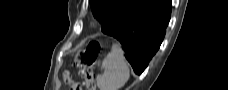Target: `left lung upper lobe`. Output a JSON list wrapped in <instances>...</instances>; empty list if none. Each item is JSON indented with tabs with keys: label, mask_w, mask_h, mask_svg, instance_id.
Segmentation results:
<instances>
[{
	"label": "left lung upper lobe",
	"mask_w": 228,
	"mask_h": 90,
	"mask_svg": "<svg viewBox=\"0 0 228 90\" xmlns=\"http://www.w3.org/2000/svg\"><path fill=\"white\" fill-rule=\"evenodd\" d=\"M133 0H90L94 17L102 26V31L110 27L118 16L127 11Z\"/></svg>",
	"instance_id": "left-lung-upper-lobe-1"
}]
</instances>
